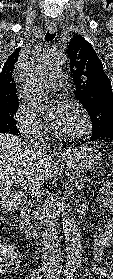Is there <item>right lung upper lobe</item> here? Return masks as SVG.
Masks as SVG:
<instances>
[{
	"label": "right lung upper lobe",
	"mask_w": 113,
	"mask_h": 279,
	"mask_svg": "<svg viewBox=\"0 0 113 279\" xmlns=\"http://www.w3.org/2000/svg\"><path fill=\"white\" fill-rule=\"evenodd\" d=\"M21 48L16 49L6 60L0 73V109L17 103L16 84L12 76V70Z\"/></svg>",
	"instance_id": "1"
}]
</instances>
